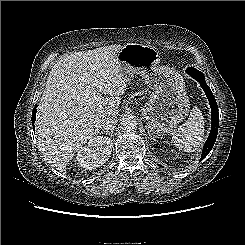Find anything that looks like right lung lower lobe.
Instances as JSON below:
<instances>
[{
	"mask_svg": "<svg viewBox=\"0 0 245 245\" xmlns=\"http://www.w3.org/2000/svg\"><path fill=\"white\" fill-rule=\"evenodd\" d=\"M36 107L37 105H35V108H33V111H32V125L34 127V123H35V119H36Z\"/></svg>",
	"mask_w": 245,
	"mask_h": 245,
	"instance_id": "obj_1",
	"label": "right lung lower lobe"
}]
</instances>
